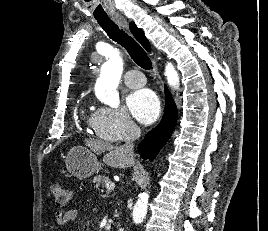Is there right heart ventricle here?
<instances>
[{
    "label": "right heart ventricle",
    "mask_w": 268,
    "mask_h": 231,
    "mask_svg": "<svg viewBox=\"0 0 268 231\" xmlns=\"http://www.w3.org/2000/svg\"><path fill=\"white\" fill-rule=\"evenodd\" d=\"M81 115L85 120H87V122H89L91 124L93 114L89 115L88 111H87V109L85 107H82Z\"/></svg>",
    "instance_id": "right-heart-ventricle-1"
}]
</instances>
